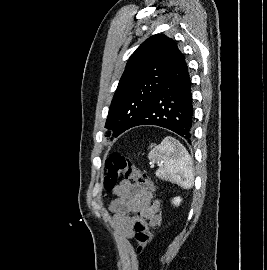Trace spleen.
<instances>
[{"label": "spleen", "instance_id": "3e777b00", "mask_svg": "<svg viewBox=\"0 0 267 270\" xmlns=\"http://www.w3.org/2000/svg\"><path fill=\"white\" fill-rule=\"evenodd\" d=\"M148 158L159 164L156 176L176 183L185 189L194 184L191 157L186 148L175 138L165 137L149 153Z\"/></svg>", "mask_w": 267, "mask_h": 270}]
</instances>
